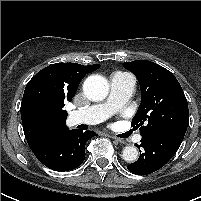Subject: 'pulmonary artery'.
I'll list each match as a JSON object with an SVG mask.
<instances>
[{"label":"pulmonary artery","mask_w":201,"mask_h":201,"mask_svg":"<svg viewBox=\"0 0 201 201\" xmlns=\"http://www.w3.org/2000/svg\"><path fill=\"white\" fill-rule=\"evenodd\" d=\"M135 84L136 80L133 75L124 72L114 73L110 78L111 89L107 100L83 110L70 112L69 125H92L103 122L127 104L134 93ZM139 139L140 137L137 138V140Z\"/></svg>","instance_id":"e3ab8cb5"}]
</instances>
